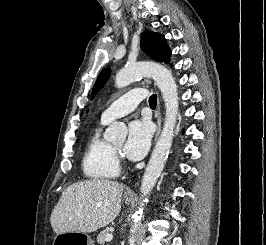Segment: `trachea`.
<instances>
[{
    "label": "trachea",
    "mask_w": 266,
    "mask_h": 245,
    "mask_svg": "<svg viewBox=\"0 0 266 245\" xmlns=\"http://www.w3.org/2000/svg\"><path fill=\"white\" fill-rule=\"evenodd\" d=\"M149 105L150 106L157 105V95H151V97L149 98Z\"/></svg>",
    "instance_id": "1"
}]
</instances>
